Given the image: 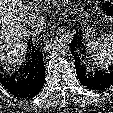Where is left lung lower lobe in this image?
<instances>
[{"label":"left lung lower lobe","instance_id":"1","mask_svg":"<svg viewBox=\"0 0 113 113\" xmlns=\"http://www.w3.org/2000/svg\"><path fill=\"white\" fill-rule=\"evenodd\" d=\"M82 30L76 33L74 39L71 41V53L75 58L76 74L80 83L86 86L90 90H103L108 88L111 84L113 85V65L108 70L89 71L86 65L83 63L78 50L84 46Z\"/></svg>","mask_w":113,"mask_h":113}]
</instances>
